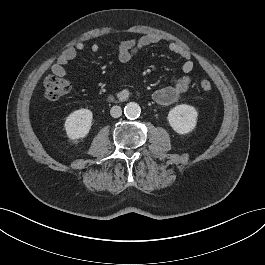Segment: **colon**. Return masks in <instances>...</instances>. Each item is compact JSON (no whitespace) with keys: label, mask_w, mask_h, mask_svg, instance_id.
Segmentation results:
<instances>
[{"label":"colon","mask_w":265,"mask_h":265,"mask_svg":"<svg viewBox=\"0 0 265 265\" xmlns=\"http://www.w3.org/2000/svg\"><path fill=\"white\" fill-rule=\"evenodd\" d=\"M43 96L47 101H55L64 96L69 90V84L66 80L56 75H47L43 82ZM199 88L203 92L212 90L211 82L206 78H201Z\"/></svg>","instance_id":"5ec220e1"}]
</instances>
